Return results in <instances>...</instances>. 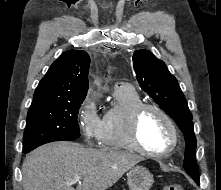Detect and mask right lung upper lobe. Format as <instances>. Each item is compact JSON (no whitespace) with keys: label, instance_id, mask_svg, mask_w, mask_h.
I'll return each instance as SVG.
<instances>
[{"label":"right lung upper lobe","instance_id":"cb5924a9","mask_svg":"<svg viewBox=\"0 0 221 190\" xmlns=\"http://www.w3.org/2000/svg\"><path fill=\"white\" fill-rule=\"evenodd\" d=\"M89 55L82 50L64 52L41 79L31 106L46 103H75L88 91Z\"/></svg>","mask_w":221,"mask_h":190}]
</instances>
